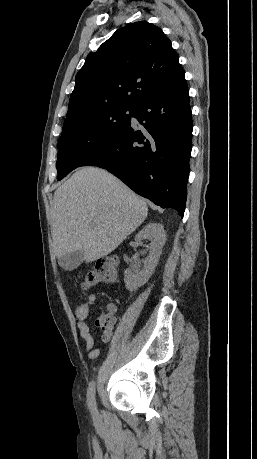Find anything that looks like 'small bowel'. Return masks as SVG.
Listing matches in <instances>:
<instances>
[{
    "label": "small bowel",
    "mask_w": 257,
    "mask_h": 459,
    "mask_svg": "<svg viewBox=\"0 0 257 459\" xmlns=\"http://www.w3.org/2000/svg\"><path fill=\"white\" fill-rule=\"evenodd\" d=\"M96 301L97 296L94 293H90L87 296L86 302L79 304L75 310L77 329L80 337L84 340L89 360H95L101 354V349L95 347L94 337L91 334L88 324L86 323V320L92 314V306ZM116 312V305L114 303H110L107 308H103L101 310L100 315L95 319V325L101 330V340L104 343L109 342L112 337L113 328L117 321Z\"/></svg>",
    "instance_id": "c3829d8e"
}]
</instances>
